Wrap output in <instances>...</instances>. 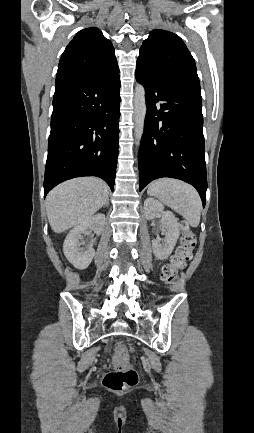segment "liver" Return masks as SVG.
Returning <instances> with one entry per match:
<instances>
[{
    "instance_id": "obj_1",
    "label": "liver",
    "mask_w": 254,
    "mask_h": 433,
    "mask_svg": "<svg viewBox=\"0 0 254 433\" xmlns=\"http://www.w3.org/2000/svg\"><path fill=\"white\" fill-rule=\"evenodd\" d=\"M107 198L108 187L98 178H76L58 185L46 198L52 230L61 233L77 226L104 206Z\"/></svg>"
}]
</instances>
